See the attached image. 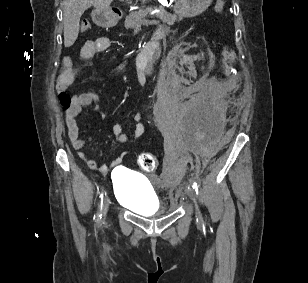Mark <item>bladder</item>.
Segmentation results:
<instances>
[{
	"instance_id": "bladder-1",
	"label": "bladder",
	"mask_w": 308,
	"mask_h": 283,
	"mask_svg": "<svg viewBox=\"0 0 308 283\" xmlns=\"http://www.w3.org/2000/svg\"><path fill=\"white\" fill-rule=\"evenodd\" d=\"M112 188L118 203L137 214L157 216L166 212L151 182L140 173L116 168L112 172Z\"/></svg>"
}]
</instances>
